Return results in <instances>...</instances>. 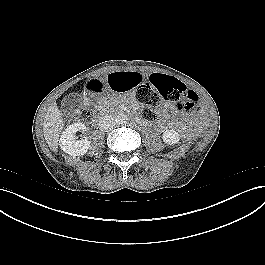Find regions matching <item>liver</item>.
<instances>
[{
  "instance_id": "6515ba94",
  "label": "liver",
  "mask_w": 265,
  "mask_h": 265,
  "mask_svg": "<svg viewBox=\"0 0 265 265\" xmlns=\"http://www.w3.org/2000/svg\"><path fill=\"white\" fill-rule=\"evenodd\" d=\"M63 129L62 113L56 103L49 107L43 122V133L52 151H57L58 141Z\"/></svg>"
}]
</instances>
